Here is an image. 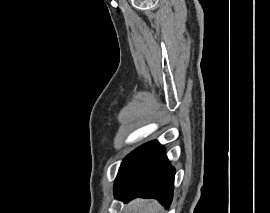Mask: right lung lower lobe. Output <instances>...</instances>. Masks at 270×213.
I'll use <instances>...</instances> for the list:
<instances>
[{"mask_svg":"<svg viewBox=\"0 0 270 213\" xmlns=\"http://www.w3.org/2000/svg\"><path fill=\"white\" fill-rule=\"evenodd\" d=\"M175 170L157 141L145 143L122 162L114 194L128 202L136 197L155 198L168 207L172 201Z\"/></svg>","mask_w":270,"mask_h":213,"instance_id":"right-lung-lower-lobe-1","label":"right lung lower lobe"}]
</instances>
